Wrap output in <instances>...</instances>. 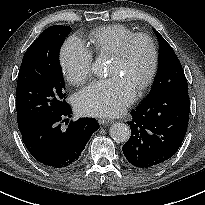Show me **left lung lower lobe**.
<instances>
[{
	"label": "left lung lower lobe",
	"mask_w": 205,
	"mask_h": 205,
	"mask_svg": "<svg viewBox=\"0 0 205 205\" xmlns=\"http://www.w3.org/2000/svg\"><path fill=\"white\" fill-rule=\"evenodd\" d=\"M190 112L188 84H179L166 95L144 100L131 111L127 122L131 137L122 151L133 166L152 168L171 158L185 137Z\"/></svg>",
	"instance_id": "1"
}]
</instances>
